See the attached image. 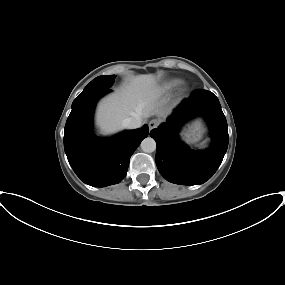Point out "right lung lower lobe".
<instances>
[{
  "instance_id": "right-lung-lower-lobe-1",
  "label": "right lung lower lobe",
  "mask_w": 285,
  "mask_h": 285,
  "mask_svg": "<svg viewBox=\"0 0 285 285\" xmlns=\"http://www.w3.org/2000/svg\"><path fill=\"white\" fill-rule=\"evenodd\" d=\"M110 91L105 88L75 100L65 125L64 149L68 161L76 175L94 187L119 183L127 174L131 155L149 132L145 125L106 139L93 134L95 104Z\"/></svg>"
}]
</instances>
